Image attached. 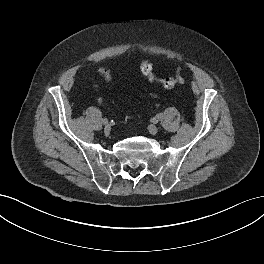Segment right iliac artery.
Segmentation results:
<instances>
[{
	"label": "right iliac artery",
	"instance_id": "obj_1",
	"mask_svg": "<svg viewBox=\"0 0 264 264\" xmlns=\"http://www.w3.org/2000/svg\"><path fill=\"white\" fill-rule=\"evenodd\" d=\"M102 123L103 124H107L108 123V119L107 118L102 119Z\"/></svg>",
	"mask_w": 264,
	"mask_h": 264
}]
</instances>
